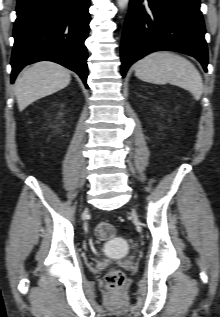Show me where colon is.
<instances>
[{
	"mask_svg": "<svg viewBox=\"0 0 220 317\" xmlns=\"http://www.w3.org/2000/svg\"><path fill=\"white\" fill-rule=\"evenodd\" d=\"M114 234V227L107 222H99L95 226V235L101 240H107ZM106 283L110 290L118 291L120 290L125 282V275L120 270H111L106 274Z\"/></svg>",
	"mask_w": 220,
	"mask_h": 317,
	"instance_id": "obj_1",
	"label": "colon"
}]
</instances>
